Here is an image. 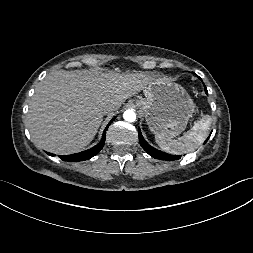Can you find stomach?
I'll return each mask as SVG.
<instances>
[{"mask_svg":"<svg viewBox=\"0 0 253 253\" xmlns=\"http://www.w3.org/2000/svg\"><path fill=\"white\" fill-rule=\"evenodd\" d=\"M145 96L135 105L155 135L173 138L185 130L195 104L181 85L169 80L150 82Z\"/></svg>","mask_w":253,"mask_h":253,"instance_id":"obj_1","label":"stomach"}]
</instances>
